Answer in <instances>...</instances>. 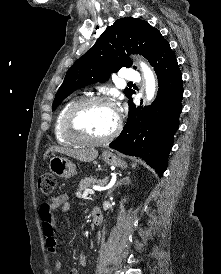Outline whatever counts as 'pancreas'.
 Listing matches in <instances>:
<instances>
[{
    "mask_svg": "<svg viewBox=\"0 0 221 274\" xmlns=\"http://www.w3.org/2000/svg\"><path fill=\"white\" fill-rule=\"evenodd\" d=\"M104 183H106V179L97 180L93 177H86L80 181L77 194H81V191L88 189L92 184L103 185Z\"/></svg>",
    "mask_w": 221,
    "mask_h": 274,
    "instance_id": "obj_1",
    "label": "pancreas"
}]
</instances>
